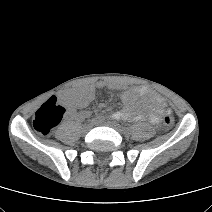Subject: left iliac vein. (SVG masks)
I'll list each match as a JSON object with an SVG mask.
<instances>
[{
  "mask_svg": "<svg viewBox=\"0 0 212 212\" xmlns=\"http://www.w3.org/2000/svg\"><path fill=\"white\" fill-rule=\"evenodd\" d=\"M105 125L114 128L116 131H118L120 134H124L125 130L123 127H121L118 123L113 122V121H109L106 122Z\"/></svg>",
  "mask_w": 212,
  "mask_h": 212,
  "instance_id": "left-iliac-vein-1",
  "label": "left iliac vein"
}]
</instances>
